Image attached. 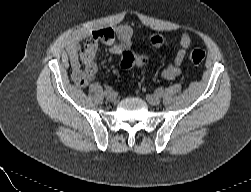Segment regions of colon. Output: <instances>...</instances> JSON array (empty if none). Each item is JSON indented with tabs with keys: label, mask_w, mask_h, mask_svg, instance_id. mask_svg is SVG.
I'll list each match as a JSON object with an SVG mask.
<instances>
[{
	"label": "colon",
	"mask_w": 251,
	"mask_h": 192,
	"mask_svg": "<svg viewBox=\"0 0 251 192\" xmlns=\"http://www.w3.org/2000/svg\"><path fill=\"white\" fill-rule=\"evenodd\" d=\"M150 43L155 47H162L165 44V39L159 34H155L150 38ZM206 57V52L203 49H194L189 53V60L193 64H201ZM147 62L145 56L137 55L130 50H125L121 57V67L131 69L135 66H142Z\"/></svg>",
	"instance_id": "5ec220e1"
}]
</instances>
